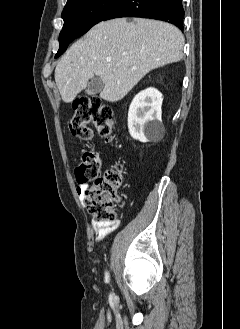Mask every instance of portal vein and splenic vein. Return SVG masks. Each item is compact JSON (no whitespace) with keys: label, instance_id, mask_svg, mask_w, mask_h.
<instances>
[{"label":"portal vein and splenic vein","instance_id":"1","mask_svg":"<svg viewBox=\"0 0 240 329\" xmlns=\"http://www.w3.org/2000/svg\"><path fill=\"white\" fill-rule=\"evenodd\" d=\"M108 62H110L111 60L110 59H107Z\"/></svg>","mask_w":240,"mask_h":329}]
</instances>
